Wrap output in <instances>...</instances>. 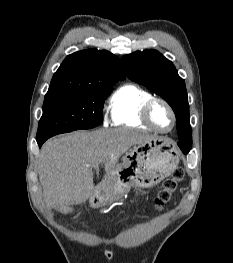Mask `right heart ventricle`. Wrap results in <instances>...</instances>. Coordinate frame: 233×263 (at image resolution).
I'll return each instance as SVG.
<instances>
[{"instance_id":"obj_1","label":"right heart ventricle","mask_w":233,"mask_h":263,"mask_svg":"<svg viewBox=\"0 0 233 263\" xmlns=\"http://www.w3.org/2000/svg\"><path fill=\"white\" fill-rule=\"evenodd\" d=\"M151 97L152 95L147 90L135 84L122 85L109 101L110 124L112 126L151 130L141 118L142 106Z\"/></svg>"}]
</instances>
